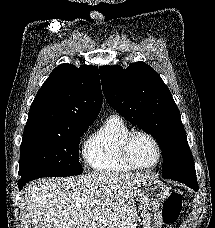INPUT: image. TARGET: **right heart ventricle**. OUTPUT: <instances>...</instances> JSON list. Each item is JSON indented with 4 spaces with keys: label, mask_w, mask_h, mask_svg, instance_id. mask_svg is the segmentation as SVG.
<instances>
[{
    "label": "right heart ventricle",
    "mask_w": 215,
    "mask_h": 228,
    "mask_svg": "<svg viewBox=\"0 0 215 228\" xmlns=\"http://www.w3.org/2000/svg\"><path fill=\"white\" fill-rule=\"evenodd\" d=\"M131 130L122 116H108L84 142L83 158L88 168L102 174H122L131 171L119 152L121 139Z\"/></svg>",
    "instance_id": "e07e8e85"
}]
</instances>
